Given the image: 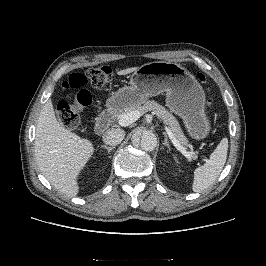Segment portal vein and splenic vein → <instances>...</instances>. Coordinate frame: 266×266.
Returning a JSON list of instances; mask_svg holds the SVG:
<instances>
[{
  "label": "portal vein and splenic vein",
  "instance_id": "portal-vein-and-splenic-vein-1",
  "mask_svg": "<svg viewBox=\"0 0 266 266\" xmlns=\"http://www.w3.org/2000/svg\"><path fill=\"white\" fill-rule=\"evenodd\" d=\"M140 116L141 114L139 111H131L130 113L123 115L119 119V124L123 127L129 126L130 124L138 120ZM166 132L167 135L169 136V139L172 141L177 150H179L189 161H193V157L190 154V152H188L186 148L179 143V141L177 140L173 132L170 130V128L166 127Z\"/></svg>",
  "mask_w": 266,
  "mask_h": 266
}]
</instances>
